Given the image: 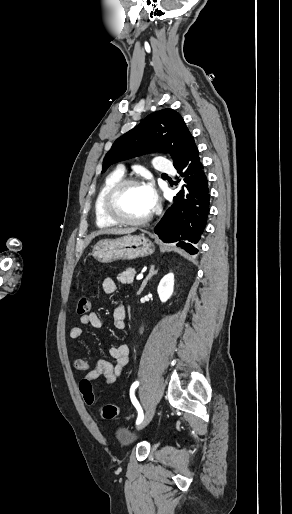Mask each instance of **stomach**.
I'll return each mask as SVG.
<instances>
[{
	"label": "stomach",
	"mask_w": 292,
	"mask_h": 514,
	"mask_svg": "<svg viewBox=\"0 0 292 514\" xmlns=\"http://www.w3.org/2000/svg\"><path fill=\"white\" fill-rule=\"evenodd\" d=\"M154 246L144 236H123L116 240H100L93 248V256L101 264L116 260H136L153 254Z\"/></svg>",
	"instance_id": "obj_1"
}]
</instances>
